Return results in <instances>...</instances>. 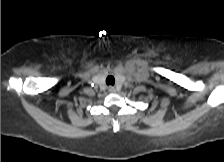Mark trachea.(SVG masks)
<instances>
[{"instance_id": "obj_1", "label": "trachea", "mask_w": 224, "mask_h": 162, "mask_svg": "<svg viewBox=\"0 0 224 162\" xmlns=\"http://www.w3.org/2000/svg\"><path fill=\"white\" fill-rule=\"evenodd\" d=\"M106 84L107 85H114L115 84V78L112 76V75H109L107 78H106Z\"/></svg>"}]
</instances>
